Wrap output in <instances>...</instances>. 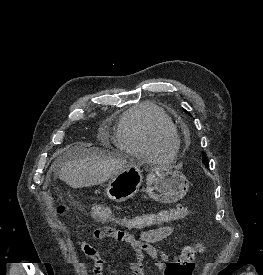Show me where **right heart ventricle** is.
I'll return each instance as SVG.
<instances>
[{
  "label": "right heart ventricle",
  "mask_w": 263,
  "mask_h": 275,
  "mask_svg": "<svg viewBox=\"0 0 263 275\" xmlns=\"http://www.w3.org/2000/svg\"><path fill=\"white\" fill-rule=\"evenodd\" d=\"M159 133L170 135L161 140ZM177 133L171 118L157 105L144 103L125 111L119 119L116 146L131 155L145 158H172L177 150Z\"/></svg>",
  "instance_id": "e07e8e85"
}]
</instances>
